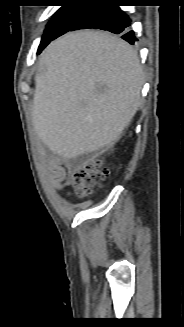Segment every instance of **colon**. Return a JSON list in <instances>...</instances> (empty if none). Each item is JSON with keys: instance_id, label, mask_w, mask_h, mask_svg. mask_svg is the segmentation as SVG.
<instances>
[{"instance_id": "colon-1", "label": "colon", "mask_w": 184, "mask_h": 327, "mask_svg": "<svg viewBox=\"0 0 184 327\" xmlns=\"http://www.w3.org/2000/svg\"><path fill=\"white\" fill-rule=\"evenodd\" d=\"M107 175L108 169L102 161L93 159L73 173V188L78 196L85 197L92 192L97 182L104 180Z\"/></svg>"}]
</instances>
